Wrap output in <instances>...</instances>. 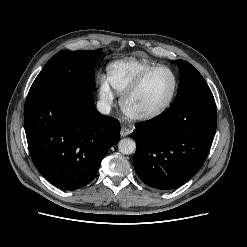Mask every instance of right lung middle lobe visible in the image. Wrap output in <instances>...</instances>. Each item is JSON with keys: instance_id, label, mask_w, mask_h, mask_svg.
<instances>
[{"instance_id": "1", "label": "right lung middle lobe", "mask_w": 247, "mask_h": 247, "mask_svg": "<svg viewBox=\"0 0 247 247\" xmlns=\"http://www.w3.org/2000/svg\"><path fill=\"white\" fill-rule=\"evenodd\" d=\"M102 52L62 50L55 54L34 80L29 93L53 88L92 90L96 62Z\"/></svg>"}]
</instances>
